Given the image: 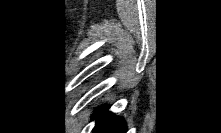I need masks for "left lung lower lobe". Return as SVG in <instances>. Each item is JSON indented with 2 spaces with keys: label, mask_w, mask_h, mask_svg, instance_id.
Returning a JSON list of instances; mask_svg holds the SVG:
<instances>
[{
  "label": "left lung lower lobe",
  "mask_w": 221,
  "mask_h": 133,
  "mask_svg": "<svg viewBox=\"0 0 221 133\" xmlns=\"http://www.w3.org/2000/svg\"><path fill=\"white\" fill-rule=\"evenodd\" d=\"M96 126L94 133H125L126 124L121 117H115L107 108H100L94 114Z\"/></svg>",
  "instance_id": "obj_1"
}]
</instances>
